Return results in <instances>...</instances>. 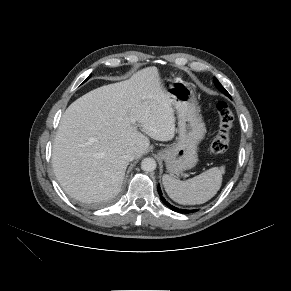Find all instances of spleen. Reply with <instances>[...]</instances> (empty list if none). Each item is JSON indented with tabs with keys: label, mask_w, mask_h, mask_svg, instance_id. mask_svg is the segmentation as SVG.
<instances>
[{
	"label": "spleen",
	"mask_w": 291,
	"mask_h": 291,
	"mask_svg": "<svg viewBox=\"0 0 291 291\" xmlns=\"http://www.w3.org/2000/svg\"><path fill=\"white\" fill-rule=\"evenodd\" d=\"M224 166L213 167L186 181L169 175L162 178L168 196L182 205L203 204L216 195L222 184Z\"/></svg>",
	"instance_id": "obj_1"
}]
</instances>
